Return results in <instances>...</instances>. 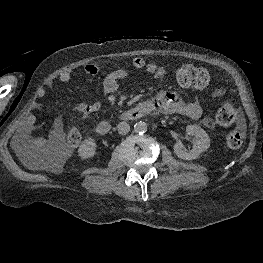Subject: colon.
<instances>
[{
    "label": "colon",
    "instance_id": "5ec220e1",
    "mask_svg": "<svg viewBox=\"0 0 263 263\" xmlns=\"http://www.w3.org/2000/svg\"><path fill=\"white\" fill-rule=\"evenodd\" d=\"M177 82L183 87L204 89L210 83V75L204 68L191 64L181 66L176 71ZM237 116V109L231 101H225L219 107L216 114V121L221 126L231 125ZM67 143L76 147L81 141V134L78 129L71 128L67 132ZM226 146L231 150L239 149L243 144V134L237 130L229 132L225 137ZM65 152L59 148L51 149L49 157L53 166H57L64 160Z\"/></svg>",
    "mask_w": 263,
    "mask_h": 263
}]
</instances>
